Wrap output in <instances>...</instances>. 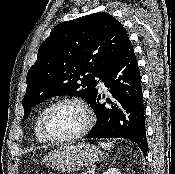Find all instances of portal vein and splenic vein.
Returning <instances> with one entry per match:
<instances>
[{
  "mask_svg": "<svg viewBox=\"0 0 175 174\" xmlns=\"http://www.w3.org/2000/svg\"><path fill=\"white\" fill-rule=\"evenodd\" d=\"M89 174H95V170H89Z\"/></svg>",
  "mask_w": 175,
  "mask_h": 174,
  "instance_id": "1",
  "label": "portal vein and splenic vein"
}]
</instances>
